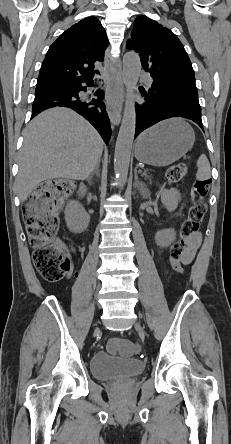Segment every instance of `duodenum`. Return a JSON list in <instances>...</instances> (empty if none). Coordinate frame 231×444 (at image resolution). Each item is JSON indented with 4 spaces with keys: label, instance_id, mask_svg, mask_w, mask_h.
<instances>
[{
    "label": "duodenum",
    "instance_id": "obj_1",
    "mask_svg": "<svg viewBox=\"0 0 231 444\" xmlns=\"http://www.w3.org/2000/svg\"><path fill=\"white\" fill-rule=\"evenodd\" d=\"M87 194H88L87 188L82 187L80 190V196H79V199L81 202H84L86 200Z\"/></svg>",
    "mask_w": 231,
    "mask_h": 444
}]
</instances>
